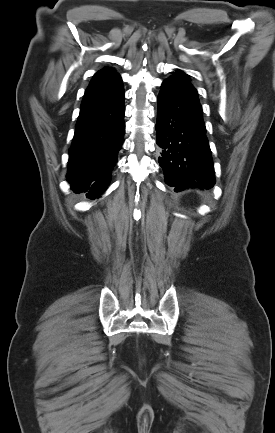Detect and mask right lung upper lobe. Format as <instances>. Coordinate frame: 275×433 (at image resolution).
Instances as JSON below:
<instances>
[{
    "label": "right lung upper lobe",
    "instance_id": "cb5924a9",
    "mask_svg": "<svg viewBox=\"0 0 275 433\" xmlns=\"http://www.w3.org/2000/svg\"><path fill=\"white\" fill-rule=\"evenodd\" d=\"M122 82V79L118 73H116L112 69L104 68L98 71L92 78L91 83L87 90L115 85L117 83Z\"/></svg>",
    "mask_w": 275,
    "mask_h": 433
}]
</instances>
